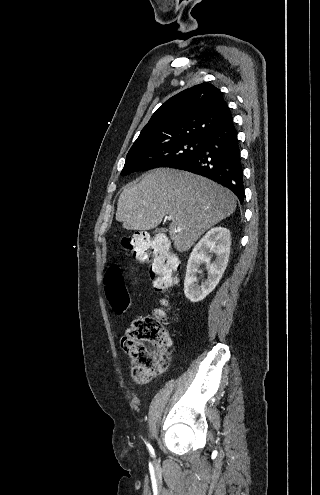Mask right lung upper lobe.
<instances>
[{"label":"right lung upper lobe","mask_w":320,"mask_h":495,"mask_svg":"<svg viewBox=\"0 0 320 495\" xmlns=\"http://www.w3.org/2000/svg\"><path fill=\"white\" fill-rule=\"evenodd\" d=\"M232 120L222 92L204 82L188 88L162 104L142 129L133 147L203 138Z\"/></svg>","instance_id":"obj_1"}]
</instances>
